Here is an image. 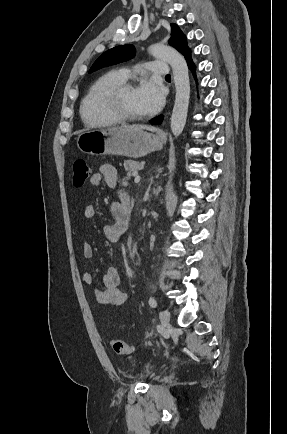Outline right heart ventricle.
Here are the masks:
<instances>
[{
    "label": "right heart ventricle",
    "mask_w": 287,
    "mask_h": 434,
    "mask_svg": "<svg viewBox=\"0 0 287 434\" xmlns=\"http://www.w3.org/2000/svg\"><path fill=\"white\" fill-rule=\"evenodd\" d=\"M125 81L121 70H111L91 84L80 103V116L86 125L102 127L119 122L106 110L103 97L109 88Z\"/></svg>",
    "instance_id": "obj_1"
}]
</instances>
